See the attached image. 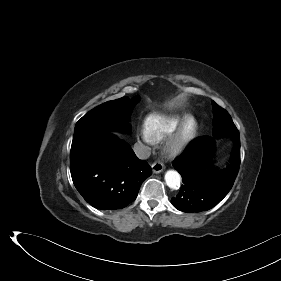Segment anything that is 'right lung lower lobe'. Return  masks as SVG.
Instances as JSON below:
<instances>
[{
	"instance_id": "98d812e1",
	"label": "right lung lower lobe",
	"mask_w": 281,
	"mask_h": 281,
	"mask_svg": "<svg viewBox=\"0 0 281 281\" xmlns=\"http://www.w3.org/2000/svg\"><path fill=\"white\" fill-rule=\"evenodd\" d=\"M70 171L82 197L100 210L126 207L152 174L147 162L111 132L90 134L72 141Z\"/></svg>"
}]
</instances>
